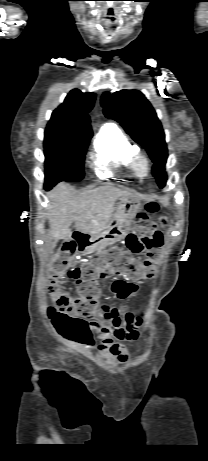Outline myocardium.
Wrapping results in <instances>:
<instances>
[{
    "label": "myocardium",
    "mask_w": 208,
    "mask_h": 461,
    "mask_svg": "<svg viewBox=\"0 0 208 461\" xmlns=\"http://www.w3.org/2000/svg\"><path fill=\"white\" fill-rule=\"evenodd\" d=\"M131 168L134 170L137 176L144 178L146 177L151 169L150 160L141 151H134L130 160Z\"/></svg>",
    "instance_id": "1"
}]
</instances>
